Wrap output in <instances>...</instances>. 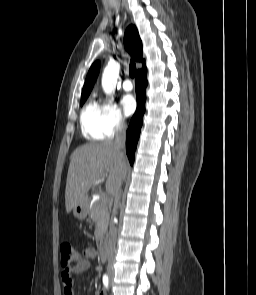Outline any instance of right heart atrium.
Here are the masks:
<instances>
[{"label":"right heart atrium","instance_id":"d8ad5b80","mask_svg":"<svg viewBox=\"0 0 256 295\" xmlns=\"http://www.w3.org/2000/svg\"><path fill=\"white\" fill-rule=\"evenodd\" d=\"M103 115H104V124L107 129L109 136L115 135L117 132L125 128V118L119 109V107L111 102L107 101L103 104Z\"/></svg>","mask_w":256,"mask_h":295}]
</instances>
